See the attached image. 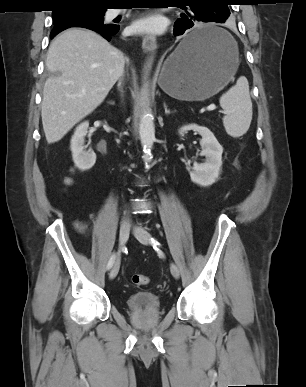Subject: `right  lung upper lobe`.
Returning a JSON list of instances; mask_svg holds the SVG:
<instances>
[{"instance_id": "cb5924a9", "label": "right lung upper lobe", "mask_w": 306, "mask_h": 387, "mask_svg": "<svg viewBox=\"0 0 306 387\" xmlns=\"http://www.w3.org/2000/svg\"><path fill=\"white\" fill-rule=\"evenodd\" d=\"M58 1V9L55 11L69 7V6H92V7H101L106 9V6L110 4L111 0H57ZM107 10V9H106ZM53 11V12H55Z\"/></svg>"}]
</instances>
